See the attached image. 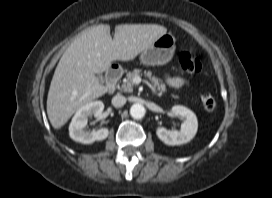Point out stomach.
I'll use <instances>...</instances> for the list:
<instances>
[{"label":"stomach","mask_w":272,"mask_h":198,"mask_svg":"<svg viewBox=\"0 0 272 198\" xmlns=\"http://www.w3.org/2000/svg\"><path fill=\"white\" fill-rule=\"evenodd\" d=\"M176 39L172 34H164L158 38L140 56L141 63L147 66L164 65L168 63L175 52Z\"/></svg>","instance_id":"obj_1"}]
</instances>
